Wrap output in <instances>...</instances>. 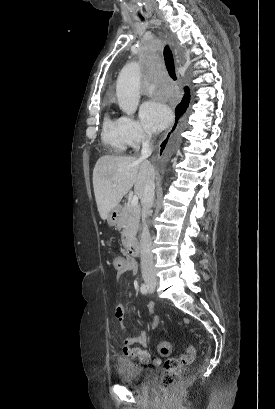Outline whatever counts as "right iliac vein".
<instances>
[{"label":"right iliac vein","instance_id":"obj_1","mask_svg":"<svg viewBox=\"0 0 275 409\" xmlns=\"http://www.w3.org/2000/svg\"><path fill=\"white\" fill-rule=\"evenodd\" d=\"M155 285H156L155 283H148V286L151 287V288H154Z\"/></svg>","mask_w":275,"mask_h":409}]
</instances>
